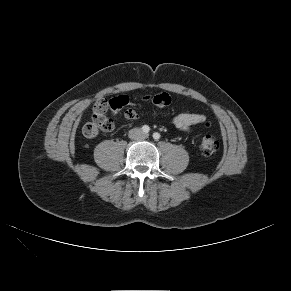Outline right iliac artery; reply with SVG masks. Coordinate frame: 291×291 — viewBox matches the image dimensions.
I'll return each instance as SVG.
<instances>
[{"label": "right iliac artery", "instance_id": "1", "mask_svg": "<svg viewBox=\"0 0 291 291\" xmlns=\"http://www.w3.org/2000/svg\"><path fill=\"white\" fill-rule=\"evenodd\" d=\"M142 131H143L144 133H148V132L150 131L149 126H148V125H144V126L142 127Z\"/></svg>", "mask_w": 291, "mask_h": 291}]
</instances>
